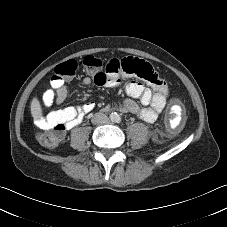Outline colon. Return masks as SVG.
Masks as SVG:
<instances>
[{"label":"colon","instance_id":"1","mask_svg":"<svg viewBox=\"0 0 227 227\" xmlns=\"http://www.w3.org/2000/svg\"><path fill=\"white\" fill-rule=\"evenodd\" d=\"M82 64L93 73V78L97 84L101 85L105 82L106 77L102 71L104 64L100 58L88 54L82 58ZM105 68L110 73V78L119 76L122 71L147 80H152L154 75V69L149 63L135 59H127L122 64L113 59L107 63ZM77 70L78 62L76 59H69L58 64L51 78V86L54 88L60 87L63 83V77H72ZM181 108V102L178 99H173L171 113L179 111ZM53 129L52 132L42 133L38 136L40 142L50 148L58 146L64 138V126L62 124L55 125Z\"/></svg>","mask_w":227,"mask_h":227}]
</instances>
